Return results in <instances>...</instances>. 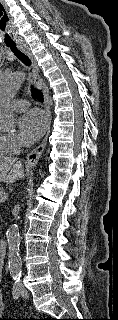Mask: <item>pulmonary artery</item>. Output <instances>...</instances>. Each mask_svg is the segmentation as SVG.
Listing matches in <instances>:
<instances>
[{
	"label": "pulmonary artery",
	"instance_id": "1",
	"mask_svg": "<svg viewBox=\"0 0 118 320\" xmlns=\"http://www.w3.org/2000/svg\"><path fill=\"white\" fill-rule=\"evenodd\" d=\"M12 106L16 111H22L27 108L28 102L26 100H14Z\"/></svg>",
	"mask_w": 118,
	"mask_h": 320
}]
</instances>
